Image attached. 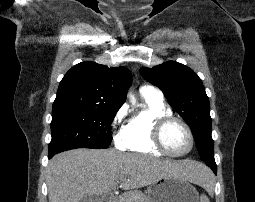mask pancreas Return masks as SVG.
<instances>
[{"label": "pancreas", "instance_id": "cf45deb5", "mask_svg": "<svg viewBox=\"0 0 255 202\" xmlns=\"http://www.w3.org/2000/svg\"><path fill=\"white\" fill-rule=\"evenodd\" d=\"M139 197L140 199H137ZM116 202H150L148 197L139 190L128 191L120 195Z\"/></svg>", "mask_w": 255, "mask_h": 202}]
</instances>
